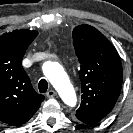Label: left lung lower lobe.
<instances>
[{"instance_id":"left-lung-lower-lobe-1","label":"left lung lower lobe","mask_w":133,"mask_h":133,"mask_svg":"<svg viewBox=\"0 0 133 133\" xmlns=\"http://www.w3.org/2000/svg\"><path fill=\"white\" fill-rule=\"evenodd\" d=\"M80 121L86 123V124H90V125H93V124H96L97 122L94 121V120H90V119H86L84 117H81V116H76Z\"/></svg>"}]
</instances>
